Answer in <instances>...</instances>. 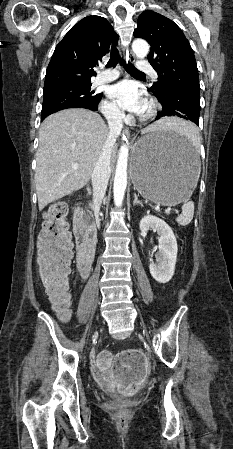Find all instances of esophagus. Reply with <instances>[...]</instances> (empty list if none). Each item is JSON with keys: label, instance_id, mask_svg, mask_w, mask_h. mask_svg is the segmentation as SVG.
Listing matches in <instances>:
<instances>
[{"label": "esophagus", "instance_id": "1", "mask_svg": "<svg viewBox=\"0 0 233 449\" xmlns=\"http://www.w3.org/2000/svg\"><path fill=\"white\" fill-rule=\"evenodd\" d=\"M125 56H126V60H127V61H130V62H134V61H135V56H134L133 53H131V52H129V51H126ZM123 136H124L125 139H126V138H129V136H130V131H129L128 128H124V130H123Z\"/></svg>", "mask_w": 233, "mask_h": 449}]
</instances>
